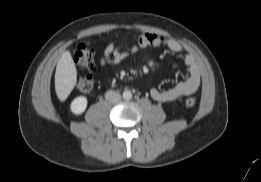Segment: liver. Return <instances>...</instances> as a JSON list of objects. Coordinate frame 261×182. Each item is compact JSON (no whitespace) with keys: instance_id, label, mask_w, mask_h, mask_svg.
<instances>
[{"instance_id":"6515ba94","label":"liver","mask_w":261,"mask_h":182,"mask_svg":"<svg viewBox=\"0 0 261 182\" xmlns=\"http://www.w3.org/2000/svg\"><path fill=\"white\" fill-rule=\"evenodd\" d=\"M77 81V70L70 51H65L58 60L55 71V91L60 101H65Z\"/></svg>"}]
</instances>
